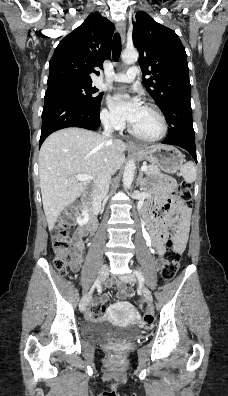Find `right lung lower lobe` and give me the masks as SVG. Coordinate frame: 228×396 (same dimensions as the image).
Wrapping results in <instances>:
<instances>
[{
	"mask_svg": "<svg viewBox=\"0 0 228 396\" xmlns=\"http://www.w3.org/2000/svg\"><path fill=\"white\" fill-rule=\"evenodd\" d=\"M100 125V106L86 107L74 99L60 94L45 96L42 112V131L39 145L53 132L80 127L94 130Z\"/></svg>",
	"mask_w": 228,
	"mask_h": 396,
	"instance_id": "1",
	"label": "right lung lower lobe"
}]
</instances>
